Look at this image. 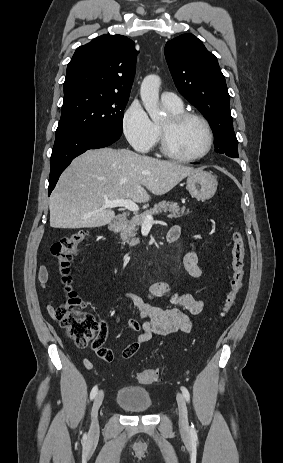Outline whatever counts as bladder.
Listing matches in <instances>:
<instances>
[{"mask_svg":"<svg viewBox=\"0 0 283 463\" xmlns=\"http://www.w3.org/2000/svg\"><path fill=\"white\" fill-rule=\"evenodd\" d=\"M115 402L132 413H144L153 408L150 393L141 387L123 386L116 395Z\"/></svg>","mask_w":283,"mask_h":463,"instance_id":"31cf9c89","label":"bladder"}]
</instances>
